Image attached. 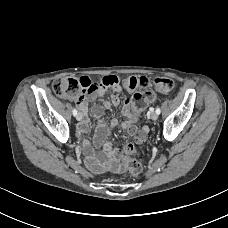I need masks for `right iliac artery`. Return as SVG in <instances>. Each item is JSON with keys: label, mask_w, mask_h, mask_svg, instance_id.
I'll use <instances>...</instances> for the list:
<instances>
[{"label": "right iliac artery", "mask_w": 228, "mask_h": 228, "mask_svg": "<svg viewBox=\"0 0 228 228\" xmlns=\"http://www.w3.org/2000/svg\"><path fill=\"white\" fill-rule=\"evenodd\" d=\"M73 115L76 116L77 115V110L73 109Z\"/></svg>", "instance_id": "obj_1"}]
</instances>
